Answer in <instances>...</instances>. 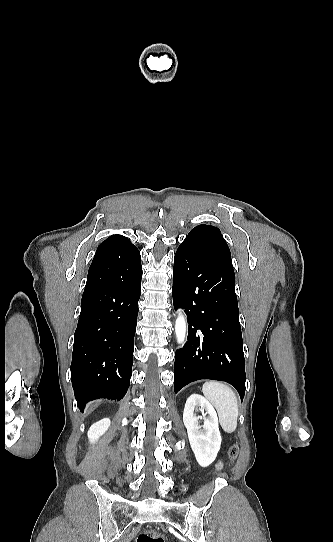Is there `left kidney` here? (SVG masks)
<instances>
[{
	"label": "left kidney",
	"instance_id": "5707ae66",
	"mask_svg": "<svg viewBox=\"0 0 333 542\" xmlns=\"http://www.w3.org/2000/svg\"><path fill=\"white\" fill-rule=\"evenodd\" d=\"M197 408L205 412L203 426H199L198 420L201 416H196ZM206 414H208L207 418ZM183 422L199 466L207 468L214 462L222 442L218 418L213 406L200 394H191L186 400Z\"/></svg>",
	"mask_w": 333,
	"mask_h": 542
}]
</instances>
